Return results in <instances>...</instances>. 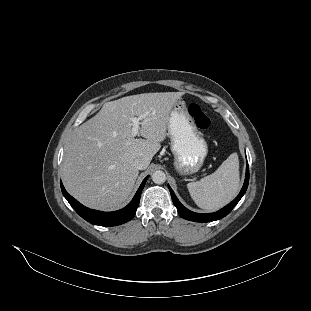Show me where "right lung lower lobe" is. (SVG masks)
<instances>
[{
  "label": "right lung lower lobe",
  "instance_id": "98d812e1",
  "mask_svg": "<svg viewBox=\"0 0 311 311\" xmlns=\"http://www.w3.org/2000/svg\"><path fill=\"white\" fill-rule=\"evenodd\" d=\"M147 179L148 176L143 180L132 201L125 208L114 212H102L83 206L67 193L62 182H60V185L62 193L69 204L86 221L94 225L116 226L131 220L136 214V210L139 206L140 195Z\"/></svg>",
  "mask_w": 311,
  "mask_h": 311
}]
</instances>
